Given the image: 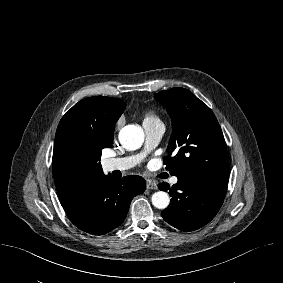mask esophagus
<instances>
[{"instance_id": "1", "label": "esophagus", "mask_w": 283, "mask_h": 283, "mask_svg": "<svg viewBox=\"0 0 283 283\" xmlns=\"http://www.w3.org/2000/svg\"><path fill=\"white\" fill-rule=\"evenodd\" d=\"M146 187H147V189L156 190L157 189V183L155 181H152V180H147Z\"/></svg>"}]
</instances>
